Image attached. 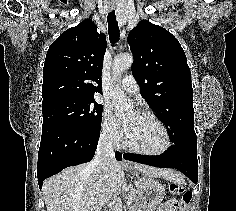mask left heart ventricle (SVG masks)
Instances as JSON below:
<instances>
[{
	"instance_id": "1",
	"label": "left heart ventricle",
	"mask_w": 236,
	"mask_h": 211,
	"mask_svg": "<svg viewBox=\"0 0 236 211\" xmlns=\"http://www.w3.org/2000/svg\"><path fill=\"white\" fill-rule=\"evenodd\" d=\"M125 134L133 147L143 151L156 152L164 145V134L160 126L137 112L126 117Z\"/></svg>"
}]
</instances>
